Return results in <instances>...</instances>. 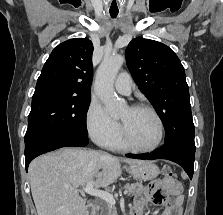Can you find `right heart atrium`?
Returning <instances> with one entry per match:
<instances>
[{"label": "right heart atrium", "mask_w": 223, "mask_h": 215, "mask_svg": "<svg viewBox=\"0 0 223 215\" xmlns=\"http://www.w3.org/2000/svg\"><path fill=\"white\" fill-rule=\"evenodd\" d=\"M85 123L91 137L102 145L119 134L118 122L111 118L96 100H92L87 108Z\"/></svg>", "instance_id": "obj_1"}]
</instances>
